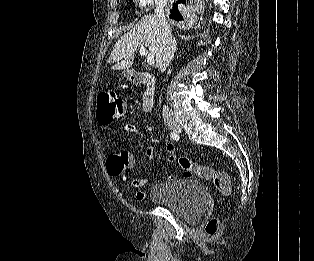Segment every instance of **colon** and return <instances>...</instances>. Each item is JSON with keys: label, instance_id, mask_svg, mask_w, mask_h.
Instances as JSON below:
<instances>
[{"label": "colon", "instance_id": "colon-1", "mask_svg": "<svg viewBox=\"0 0 314 261\" xmlns=\"http://www.w3.org/2000/svg\"><path fill=\"white\" fill-rule=\"evenodd\" d=\"M126 115L124 101L114 90L106 89L97 96L96 116L100 125L107 126L113 122L123 119ZM178 163L184 170V177L191 178L197 176L211 181L214 186L223 193H227L230 187V177L226 171L214 170L210 167L192 162L188 158L181 157ZM129 159L127 153H120L113 156L108 162V170L114 175H120L128 167ZM218 221L216 218L210 219L204 228L207 235H214L217 232Z\"/></svg>", "mask_w": 314, "mask_h": 261}]
</instances>
